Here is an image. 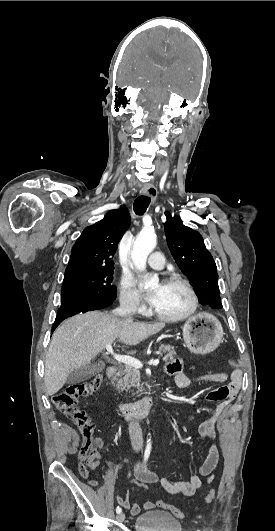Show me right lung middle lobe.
Here are the masks:
<instances>
[{"instance_id":"dd1d6c3e","label":"right lung middle lobe","mask_w":275,"mask_h":531,"mask_svg":"<svg viewBox=\"0 0 275 531\" xmlns=\"http://www.w3.org/2000/svg\"><path fill=\"white\" fill-rule=\"evenodd\" d=\"M113 269H81L65 273L61 296H84L104 304H112L116 288L112 284Z\"/></svg>"}]
</instances>
